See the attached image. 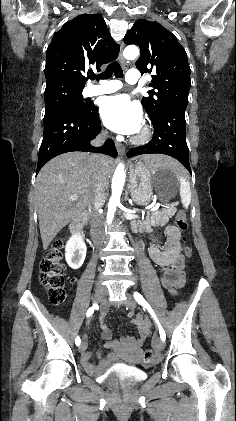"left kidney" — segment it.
Masks as SVG:
<instances>
[{
	"mask_svg": "<svg viewBox=\"0 0 236 421\" xmlns=\"http://www.w3.org/2000/svg\"><path fill=\"white\" fill-rule=\"evenodd\" d=\"M151 219H152L151 223H152V225H154L155 221H154L153 217H151Z\"/></svg>",
	"mask_w": 236,
	"mask_h": 421,
	"instance_id": "5707ae66",
	"label": "left kidney"
}]
</instances>
